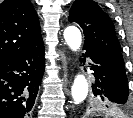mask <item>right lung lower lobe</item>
I'll list each match as a JSON object with an SVG mask.
<instances>
[{"mask_svg": "<svg viewBox=\"0 0 133 118\" xmlns=\"http://www.w3.org/2000/svg\"><path fill=\"white\" fill-rule=\"evenodd\" d=\"M44 68L43 42L0 63V118H28Z\"/></svg>", "mask_w": 133, "mask_h": 118, "instance_id": "right-lung-lower-lobe-1", "label": "right lung lower lobe"}]
</instances>
